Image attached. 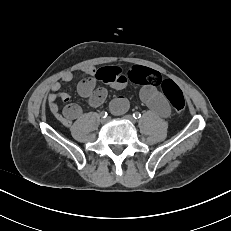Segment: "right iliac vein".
Masks as SVG:
<instances>
[{
	"instance_id": "63e3f726",
	"label": "right iliac vein",
	"mask_w": 231,
	"mask_h": 231,
	"mask_svg": "<svg viewBox=\"0 0 231 231\" xmlns=\"http://www.w3.org/2000/svg\"><path fill=\"white\" fill-rule=\"evenodd\" d=\"M107 121H108V118H102L101 119V123H103V124L106 123Z\"/></svg>"
}]
</instances>
